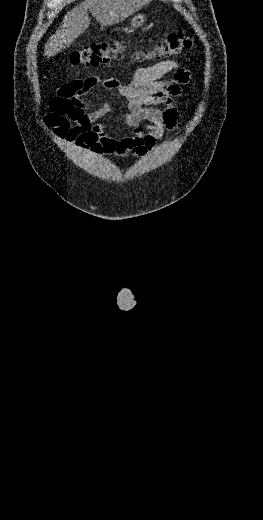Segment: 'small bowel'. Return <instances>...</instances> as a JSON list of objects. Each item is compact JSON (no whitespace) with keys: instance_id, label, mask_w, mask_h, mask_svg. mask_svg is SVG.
<instances>
[{"instance_id":"small-bowel-1","label":"small bowel","mask_w":263,"mask_h":520,"mask_svg":"<svg viewBox=\"0 0 263 520\" xmlns=\"http://www.w3.org/2000/svg\"><path fill=\"white\" fill-rule=\"evenodd\" d=\"M173 73L169 79L165 78ZM190 81V72L176 60H164L138 68L128 84L118 79L88 77L71 81L57 91L51 100L44 124L55 135L80 150L96 155L143 156L153 149L167 130L177 125L176 100L182 96V86ZM96 87L116 91L127 101L124 124L131 135L115 139L97 122L111 111L106 103L89 108L86 95ZM163 106V110L155 106Z\"/></svg>"}]
</instances>
